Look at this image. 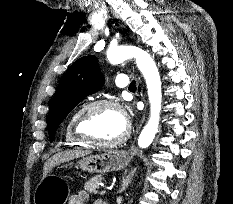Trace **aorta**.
I'll return each mask as SVG.
<instances>
[{"mask_svg":"<svg viewBox=\"0 0 233 204\" xmlns=\"http://www.w3.org/2000/svg\"><path fill=\"white\" fill-rule=\"evenodd\" d=\"M135 58L136 65L146 81L150 102V117L138 137L140 148H147L155 138L158 131L162 88L158 68L153 58L144 50L131 46L122 45L107 52V59L111 64H120L128 59Z\"/></svg>","mask_w":233,"mask_h":204,"instance_id":"aorta-1","label":"aorta"}]
</instances>
